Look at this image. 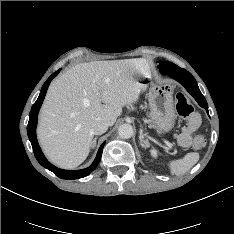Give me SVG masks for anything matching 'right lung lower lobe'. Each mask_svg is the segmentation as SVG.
<instances>
[{"label":"right lung lower lobe","instance_id":"1","mask_svg":"<svg viewBox=\"0 0 234 234\" xmlns=\"http://www.w3.org/2000/svg\"><path fill=\"white\" fill-rule=\"evenodd\" d=\"M60 70L61 69H59L54 74H52L46 80L44 85L42 86L41 91H40V95H39L37 101L33 104L32 108H31V112L29 114L27 133H28L29 140L32 144L34 155H35L36 159L38 160V162L43 167L52 171L55 175H57L58 177H60L62 179H79V178L87 176L88 174H90L91 171H93L97 167V165L101 159V156H102V151H103V147H104L105 142L100 146L98 153H97V156L90 167H88L86 169H82V170L68 171V170L58 169L57 167L53 166L50 162H48V160L43 155V153L39 147V144L37 142V138H36V126H37V118H38L39 109L43 103V100H44V97L46 95V91H47V88H48L50 82L59 73Z\"/></svg>","mask_w":234,"mask_h":234}]
</instances>
